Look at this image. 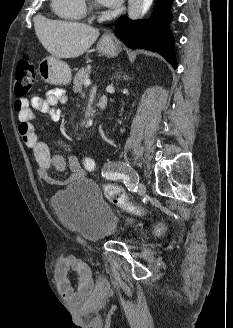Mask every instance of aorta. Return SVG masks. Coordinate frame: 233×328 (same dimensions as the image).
<instances>
[{
    "label": "aorta",
    "mask_w": 233,
    "mask_h": 328,
    "mask_svg": "<svg viewBox=\"0 0 233 328\" xmlns=\"http://www.w3.org/2000/svg\"><path fill=\"white\" fill-rule=\"evenodd\" d=\"M153 0H129L128 1V17L136 19L148 11Z\"/></svg>",
    "instance_id": "obj_1"
}]
</instances>
